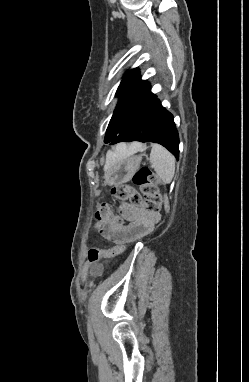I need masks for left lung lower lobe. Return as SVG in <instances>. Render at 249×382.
<instances>
[{"label":"left lung lower lobe","instance_id":"obj_1","mask_svg":"<svg viewBox=\"0 0 249 382\" xmlns=\"http://www.w3.org/2000/svg\"><path fill=\"white\" fill-rule=\"evenodd\" d=\"M153 142L166 147L179 158V137L173 116L155 98L141 118L128 130L119 133L110 145L119 142Z\"/></svg>","mask_w":249,"mask_h":382}]
</instances>
